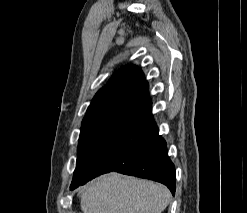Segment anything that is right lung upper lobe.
I'll use <instances>...</instances> for the list:
<instances>
[{
    "instance_id": "1",
    "label": "right lung upper lobe",
    "mask_w": 247,
    "mask_h": 213,
    "mask_svg": "<svg viewBox=\"0 0 247 213\" xmlns=\"http://www.w3.org/2000/svg\"><path fill=\"white\" fill-rule=\"evenodd\" d=\"M147 99H149L148 83L143 72L135 65L124 67L95 95L82 124L106 111L133 107Z\"/></svg>"
}]
</instances>
